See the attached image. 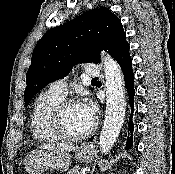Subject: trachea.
<instances>
[{
	"label": "trachea",
	"instance_id": "trachea-1",
	"mask_svg": "<svg viewBox=\"0 0 175 174\" xmlns=\"http://www.w3.org/2000/svg\"><path fill=\"white\" fill-rule=\"evenodd\" d=\"M97 80H98V78H93V79H92V81H97Z\"/></svg>",
	"mask_w": 175,
	"mask_h": 174
}]
</instances>
